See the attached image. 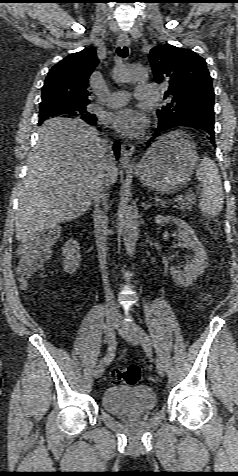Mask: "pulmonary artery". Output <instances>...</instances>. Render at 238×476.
I'll list each match as a JSON object with an SVG mask.
<instances>
[{"mask_svg": "<svg viewBox=\"0 0 238 476\" xmlns=\"http://www.w3.org/2000/svg\"><path fill=\"white\" fill-rule=\"evenodd\" d=\"M135 96L139 100L152 101L159 97V88L152 84H140L136 87ZM130 95L128 92L119 90L114 91L108 95L104 100L108 107H119L129 101Z\"/></svg>", "mask_w": 238, "mask_h": 476, "instance_id": "pulmonary-artery-1", "label": "pulmonary artery"}]
</instances>
